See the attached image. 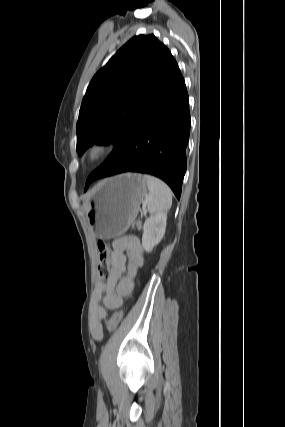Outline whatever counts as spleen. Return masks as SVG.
I'll return each instance as SVG.
<instances>
[{"label":"spleen","instance_id":"obj_1","mask_svg":"<svg viewBox=\"0 0 285 427\" xmlns=\"http://www.w3.org/2000/svg\"><path fill=\"white\" fill-rule=\"evenodd\" d=\"M148 186L147 209L150 215L168 211L172 205V192L162 180L150 176H144Z\"/></svg>","mask_w":285,"mask_h":427}]
</instances>
